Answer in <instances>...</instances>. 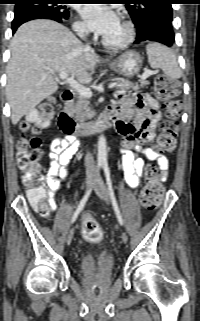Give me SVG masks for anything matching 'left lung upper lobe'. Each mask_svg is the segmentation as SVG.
I'll list each match as a JSON object with an SVG mask.
<instances>
[{"label": "left lung upper lobe", "mask_w": 200, "mask_h": 321, "mask_svg": "<svg viewBox=\"0 0 200 321\" xmlns=\"http://www.w3.org/2000/svg\"><path fill=\"white\" fill-rule=\"evenodd\" d=\"M174 0H124L126 8L137 27L148 20L162 19L172 22Z\"/></svg>", "instance_id": "left-lung-upper-lobe-1"}]
</instances>
